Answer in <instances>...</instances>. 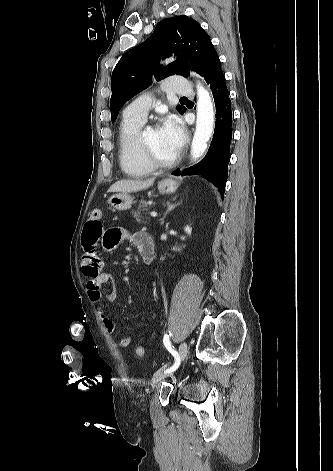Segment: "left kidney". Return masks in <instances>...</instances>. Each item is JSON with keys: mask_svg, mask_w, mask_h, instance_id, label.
<instances>
[{"mask_svg": "<svg viewBox=\"0 0 333 471\" xmlns=\"http://www.w3.org/2000/svg\"><path fill=\"white\" fill-rule=\"evenodd\" d=\"M184 230H185V232H186L188 235H191V233H192V228H191L189 225L185 226Z\"/></svg>", "mask_w": 333, "mask_h": 471, "instance_id": "1", "label": "left kidney"}]
</instances>
